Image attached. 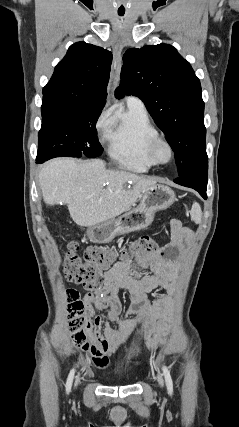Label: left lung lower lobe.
<instances>
[{"instance_id": "left-lung-lower-lobe-1", "label": "left lung lower lobe", "mask_w": 239, "mask_h": 427, "mask_svg": "<svg viewBox=\"0 0 239 427\" xmlns=\"http://www.w3.org/2000/svg\"><path fill=\"white\" fill-rule=\"evenodd\" d=\"M208 177V161L198 164L190 172L183 176H178L174 182L195 189L199 194L207 199V179Z\"/></svg>"}]
</instances>
